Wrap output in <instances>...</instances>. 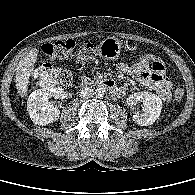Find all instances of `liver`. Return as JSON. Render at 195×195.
Masks as SVG:
<instances>
[{
  "label": "liver",
  "mask_w": 195,
  "mask_h": 195,
  "mask_svg": "<svg viewBox=\"0 0 195 195\" xmlns=\"http://www.w3.org/2000/svg\"><path fill=\"white\" fill-rule=\"evenodd\" d=\"M37 56V49H32L28 55L19 62L16 69V88L21 97L27 95L29 79L34 70V64L37 61Z\"/></svg>",
  "instance_id": "1"
}]
</instances>
